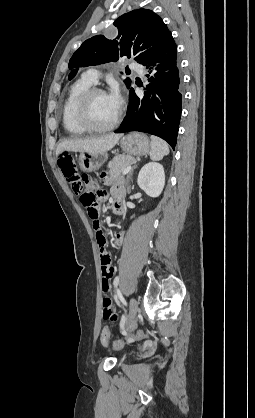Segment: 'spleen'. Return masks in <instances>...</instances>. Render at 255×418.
I'll use <instances>...</instances> for the list:
<instances>
[{"label": "spleen", "mask_w": 255, "mask_h": 418, "mask_svg": "<svg viewBox=\"0 0 255 418\" xmlns=\"http://www.w3.org/2000/svg\"><path fill=\"white\" fill-rule=\"evenodd\" d=\"M168 154H169L168 144L163 139L152 135L150 158L153 161H158Z\"/></svg>", "instance_id": "spleen-1"}]
</instances>
